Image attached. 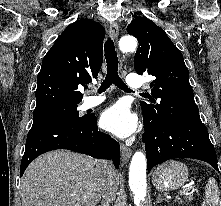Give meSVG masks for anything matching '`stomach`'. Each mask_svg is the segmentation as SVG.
<instances>
[{
  "instance_id": "stomach-1",
  "label": "stomach",
  "mask_w": 221,
  "mask_h": 206,
  "mask_svg": "<svg viewBox=\"0 0 221 206\" xmlns=\"http://www.w3.org/2000/svg\"><path fill=\"white\" fill-rule=\"evenodd\" d=\"M187 167L177 161H169L160 165L153 173V185L163 191L175 190L187 181Z\"/></svg>"
}]
</instances>
